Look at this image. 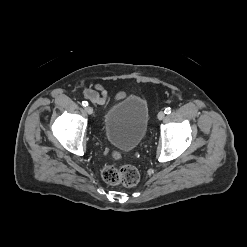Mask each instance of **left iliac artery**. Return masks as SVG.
I'll list each match as a JSON object with an SVG mask.
<instances>
[{
  "mask_svg": "<svg viewBox=\"0 0 247 247\" xmlns=\"http://www.w3.org/2000/svg\"><path fill=\"white\" fill-rule=\"evenodd\" d=\"M164 113H165V114H170V113H171V108H170V107H167V108L164 110Z\"/></svg>",
  "mask_w": 247,
  "mask_h": 247,
  "instance_id": "obj_1",
  "label": "left iliac artery"
}]
</instances>
